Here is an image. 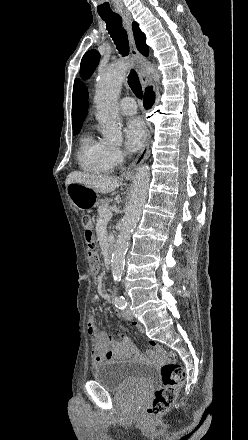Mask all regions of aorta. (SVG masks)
Wrapping results in <instances>:
<instances>
[{"label":"aorta","mask_w":248,"mask_h":440,"mask_svg":"<svg viewBox=\"0 0 248 440\" xmlns=\"http://www.w3.org/2000/svg\"><path fill=\"white\" fill-rule=\"evenodd\" d=\"M128 69L129 63L117 61L100 72L96 85L94 98L97 108L96 118L101 126L104 139L115 145H120L123 141L122 123L118 115L117 101ZM147 70L156 79L159 78L153 66H148ZM149 182L150 167L143 165L134 177L130 200L125 209L122 226L112 254L111 268L115 281L121 279L130 237L142 214Z\"/></svg>","instance_id":"762f6f07"}]
</instances>
